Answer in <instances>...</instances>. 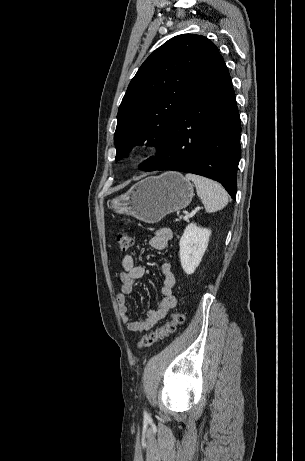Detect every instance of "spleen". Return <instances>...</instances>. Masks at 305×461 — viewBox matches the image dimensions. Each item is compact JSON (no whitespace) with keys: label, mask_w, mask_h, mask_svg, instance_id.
Returning a JSON list of instances; mask_svg holds the SVG:
<instances>
[{"label":"spleen","mask_w":305,"mask_h":461,"mask_svg":"<svg viewBox=\"0 0 305 461\" xmlns=\"http://www.w3.org/2000/svg\"><path fill=\"white\" fill-rule=\"evenodd\" d=\"M185 178L194 182L197 195L203 202L207 213L219 211L228 204V194L219 183L189 173L185 175Z\"/></svg>","instance_id":"3e777b00"}]
</instances>
